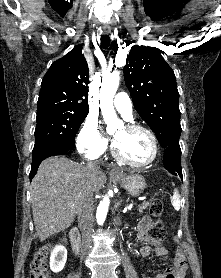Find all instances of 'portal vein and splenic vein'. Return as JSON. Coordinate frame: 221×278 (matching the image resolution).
<instances>
[{
  "label": "portal vein and splenic vein",
  "instance_id": "portal-vein-and-splenic-vein-1",
  "mask_svg": "<svg viewBox=\"0 0 221 278\" xmlns=\"http://www.w3.org/2000/svg\"><path fill=\"white\" fill-rule=\"evenodd\" d=\"M132 207H133V204H130V205L127 207L126 210L130 211V210L132 209Z\"/></svg>",
  "mask_w": 221,
  "mask_h": 278
}]
</instances>
